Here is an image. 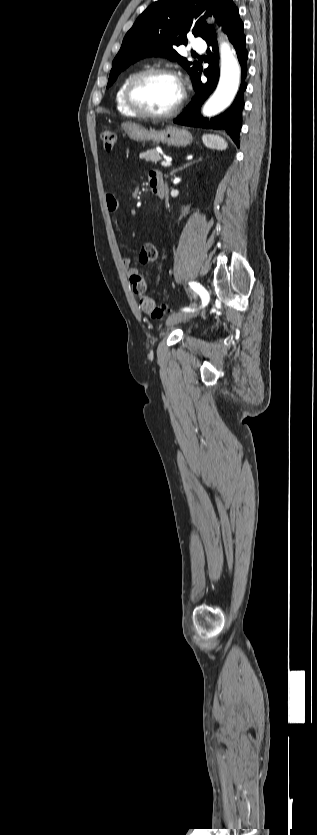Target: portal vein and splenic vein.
Listing matches in <instances>:
<instances>
[{
	"mask_svg": "<svg viewBox=\"0 0 317 835\" xmlns=\"http://www.w3.org/2000/svg\"><path fill=\"white\" fill-rule=\"evenodd\" d=\"M160 164H161V166H162L163 168H167V167H169V166H171V165H172V163H171V162H168V161H161V163H160Z\"/></svg>",
	"mask_w": 317,
	"mask_h": 835,
	"instance_id": "portal-vein-and-splenic-vein-1",
	"label": "portal vein and splenic vein"
}]
</instances>
